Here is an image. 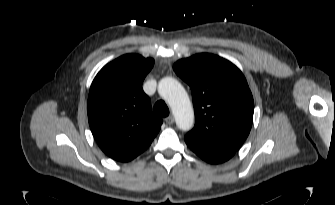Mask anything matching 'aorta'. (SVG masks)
I'll use <instances>...</instances> for the list:
<instances>
[{"instance_id": "obj_1", "label": "aorta", "mask_w": 335, "mask_h": 205, "mask_svg": "<svg viewBox=\"0 0 335 205\" xmlns=\"http://www.w3.org/2000/svg\"><path fill=\"white\" fill-rule=\"evenodd\" d=\"M158 93L170 105L177 127L190 130L194 124V111L183 86L176 79L165 77L159 81Z\"/></svg>"}]
</instances>
